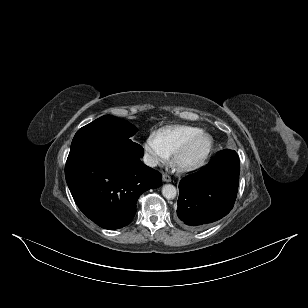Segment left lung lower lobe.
<instances>
[{
  "mask_svg": "<svg viewBox=\"0 0 308 308\" xmlns=\"http://www.w3.org/2000/svg\"><path fill=\"white\" fill-rule=\"evenodd\" d=\"M239 169L238 154L225 149L206 167L184 177L179 183L178 222L200 230L226 216L236 199Z\"/></svg>",
  "mask_w": 308,
  "mask_h": 308,
  "instance_id": "1",
  "label": "left lung lower lobe"
}]
</instances>
